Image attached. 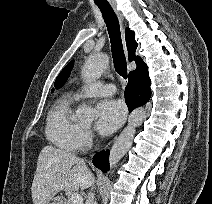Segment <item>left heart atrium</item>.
Instances as JSON below:
<instances>
[{"mask_svg":"<svg viewBox=\"0 0 212 204\" xmlns=\"http://www.w3.org/2000/svg\"><path fill=\"white\" fill-rule=\"evenodd\" d=\"M126 110L119 100L107 99L97 106L96 129L106 135L114 132L123 122Z\"/></svg>","mask_w":212,"mask_h":204,"instance_id":"left-heart-atrium-1","label":"left heart atrium"}]
</instances>
